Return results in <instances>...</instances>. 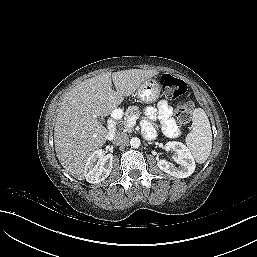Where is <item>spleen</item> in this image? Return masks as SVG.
<instances>
[{
    "label": "spleen",
    "mask_w": 257,
    "mask_h": 257,
    "mask_svg": "<svg viewBox=\"0 0 257 257\" xmlns=\"http://www.w3.org/2000/svg\"><path fill=\"white\" fill-rule=\"evenodd\" d=\"M186 145L197 163H204L212 149V132L209 119L201 108L193 111L192 131L186 136Z\"/></svg>",
    "instance_id": "spleen-1"
}]
</instances>
